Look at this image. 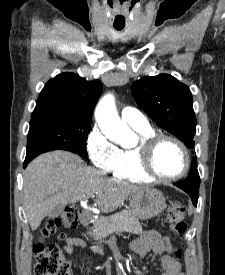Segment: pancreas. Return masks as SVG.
I'll return each instance as SVG.
<instances>
[{"instance_id":"1","label":"pancreas","mask_w":225,"mask_h":275,"mask_svg":"<svg viewBox=\"0 0 225 275\" xmlns=\"http://www.w3.org/2000/svg\"><path fill=\"white\" fill-rule=\"evenodd\" d=\"M94 233H90L95 240H102L111 234L129 232L132 234H141L143 232L139 219L131 212H120L107 218L96 220L93 223ZM92 250L103 254L101 246H93Z\"/></svg>"}]
</instances>
